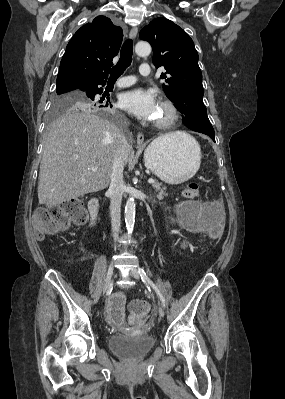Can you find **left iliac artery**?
Listing matches in <instances>:
<instances>
[{
  "label": "left iliac artery",
  "mask_w": 285,
  "mask_h": 399,
  "mask_svg": "<svg viewBox=\"0 0 285 399\" xmlns=\"http://www.w3.org/2000/svg\"><path fill=\"white\" fill-rule=\"evenodd\" d=\"M138 272L140 274L141 280L145 283H148L155 290L162 302V306L165 308V302L158 287L153 283L152 280H150L143 268L138 267Z\"/></svg>",
  "instance_id": "obj_1"
}]
</instances>
